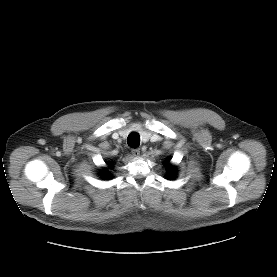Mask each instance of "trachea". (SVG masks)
<instances>
[{"mask_svg": "<svg viewBox=\"0 0 277 277\" xmlns=\"http://www.w3.org/2000/svg\"><path fill=\"white\" fill-rule=\"evenodd\" d=\"M127 143L132 148L138 147L139 144H140V136H139V134L136 133V132H133V133L129 134V136L127 138Z\"/></svg>", "mask_w": 277, "mask_h": 277, "instance_id": "1", "label": "trachea"}]
</instances>
